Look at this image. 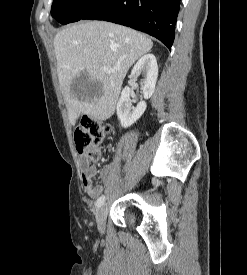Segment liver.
<instances>
[{
	"label": "liver",
	"instance_id": "1",
	"mask_svg": "<svg viewBox=\"0 0 247 275\" xmlns=\"http://www.w3.org/2000/svg\"><path fill=\"white\" fill-rule=\"evenodd\" d=\"M152 46L151 39L142 33L105 21L81 22L59 31L54 48L70 124L75 125L81 114L96 121L110 118L128 70ZM104 66L114 71L104 72ZM82 72L100 83L93 95L72 90L73 80Z\"/></svg>",
	"mask_w": 247,
	"mask_h": 275
}]
</instances>
